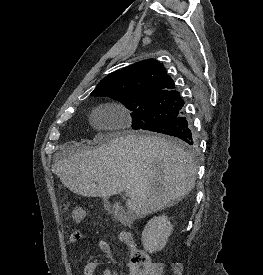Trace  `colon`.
Instances as JSON below:
<instances>
[{"label": "colon", "mask_w": 263, "mask_h": 275, "mask_svg": "<svg viewBox=\"0 0 263 275\" xmlns=\"http://www.w3.org/2000/svg\"><path fill=\"white\" fill-rule=\"evenodd\" d=\"M71 217L75 222H80L85 217L84 209L80 207L74 208L71 211ZM120 239L130 249V263L141 271L142 275H158V264L151 262L146 253L135 245L134 239L130 232H121Z\"/></svg>", "instance_id": "obj_1"}]
</instances>
